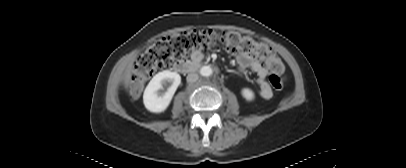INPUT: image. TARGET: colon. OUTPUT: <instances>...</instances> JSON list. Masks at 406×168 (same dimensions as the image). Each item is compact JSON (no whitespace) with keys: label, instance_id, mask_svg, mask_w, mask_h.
Listing matches in <instances>:
<instances>
[{"label":"colon","instance_id":"5ec220e1","mask_svg":"<svg viewBox=\"0 0 406 168\" xmlns=\"http://www.w3.org/2000/svg\"><path fill=\"white\" fill-rule=\"evenodd\" d=\"M219 43L229 52L263 59L271 69V86L278 91L283 89L284 65L267 44L234 31L189 29L159 39L137 57L125 79L130 97L137 98L146 81L158 70L169 67L175 60L207 50Z\"/></svg>","mask_w":406,"mask_h":168}]
</instances>
